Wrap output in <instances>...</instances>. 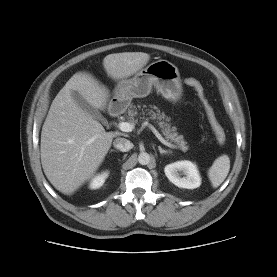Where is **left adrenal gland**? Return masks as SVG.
Masks as SVG:
<instances>
[{"label": "left adrenal gland", "mask_w": 277, "mask_h": 277, "mask_svg": "<svg viewBox=\"0 0 277 277\" xmlns=\"http://www.w3.org/2000/svg\"><path fill=\"white\" fill-rule=\"evenodd\" d=\"M158 149H159V152H160L161 155L171 153L170 150L169 151L168 150H164V149L161 148V146H158Z\"/></svg>", "instance_id": "a2214340"}]
</instances>
